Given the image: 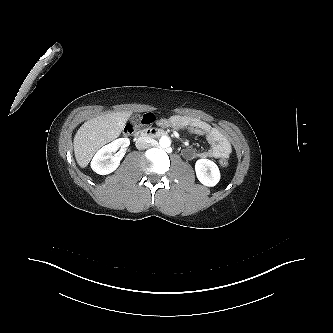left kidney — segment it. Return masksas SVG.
Returning a JSON list of instances; mask_svg holds the SVG:
<instances>
[{"label":"left kidney","instance_id":"1","mask_svg":"<svg viewBox=\"0 0 333 333\" xmlns=\"http://www.w3.org/2000/svg\"><path fill=\"white\" fill-rule=\"evenodd\" d=\"M195 171L198 180L207 187L215 186L220 180L218 166L211 160L199 159L195 164Z\"/></svg>","mask_w":333,"mask_h":333}]
</instances>
